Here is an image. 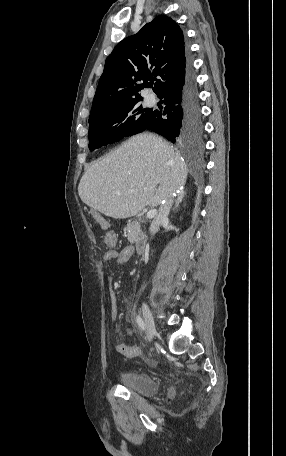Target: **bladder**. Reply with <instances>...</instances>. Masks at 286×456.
I'll return each mask as SVG.
<instances>
[{
	"label": "bladder",
	"mask_w": 286,
	"mask_h": 456,
	"mask_svg": "<svg viewBox=\"0 0 286 456\" xmlns=\"http://www.w3.org/2000/svg\"><path fill=\"white\" fill-rule=\"evenodd\" d=\"M119 380L123 387L143 396H152L159 391L158 382L145 373L125 371Z\"/></svg>",
	"instance_id": "bladder-1"
}]
</instances>
